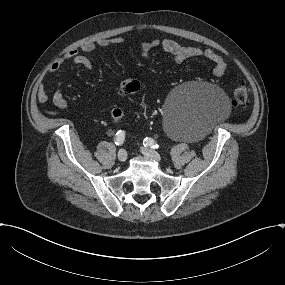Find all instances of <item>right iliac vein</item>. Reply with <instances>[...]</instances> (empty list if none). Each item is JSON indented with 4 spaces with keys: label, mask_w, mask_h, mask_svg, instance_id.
<instances>
[{
    "label": "right iliac vein",
    "mask_w": 285,
    "mask_h": 285,
    "mask_svg": "<svg viewBox=\"0 0 285 285\" xmlns=\"http://www.w3.org/2000/svg\"><path fill=\"white\" fill-rule=\"evenodd\" d=\"M117 157H118V160L120 162L124 163L127 160V152H126V150L125 149L119 150Z\"/></svg>",
    "instance_id": "1"
}]
</instances>
